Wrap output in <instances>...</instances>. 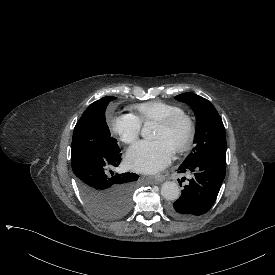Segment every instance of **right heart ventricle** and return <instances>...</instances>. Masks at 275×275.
I'll return each instance as SVG.
<instances>
[{
    "label": "right heart ventricle",
    "mask_w": 275,
    "mask_h": 275,
    "mask_svg": "<svg viewBox=\"0 0 275 275\" xmlns=\"http://www.w3.org/2000/svg\"><path fill=\"white\" fill-rule=\"evenodd\" d=\"M137 111L135 116L140 123L148 124L150 122H160L174 114L183 113V110L176 105L154 100L133 106Z\"/></svg>",
    "instance_id": "1"
}]
</instances>
